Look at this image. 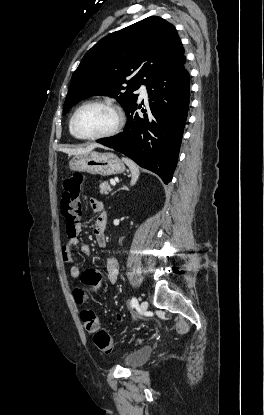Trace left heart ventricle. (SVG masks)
<instances>
[{"label":"left heart ventricle","mask_w":264,"mask_h":415,"mask_svg":"<svg viewBox=\"0 0 264 415\" xmlns=\"http://www.w3.org/2000/svg\"><path fill=\"white\" fill-rule=\"evenodd\" d=\"M115 120V113L110 108L92 105L79 112L76 128L83 135H98L110 131L115 125Z\"/></svg>","instance_id":"1"}]
</instances>
